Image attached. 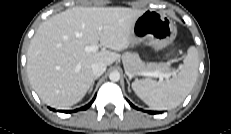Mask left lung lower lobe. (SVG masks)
Returning a JSON list of instances; mask_svg holds the SVG:
<instances>
[{
    "mask_svg": "<svg viewBox=\"0 0 231 134\" xmlns=\"http://www.w3.org/2000/svg\"><path fill=\"white\" fill-rule=\"evenodd\" d=\"M129 102V101H128ZM129 104L133 107V108H136L132 103L129 102ZM151 114H157V113H160V112H149Z\"/></svg>",
    "mask_w": 231,
    "mask_h": 134,
    "instance_id": "obj_1",
    "label": "left lung lower lobe"
}]
</instances>
